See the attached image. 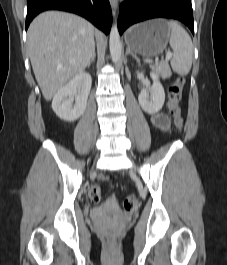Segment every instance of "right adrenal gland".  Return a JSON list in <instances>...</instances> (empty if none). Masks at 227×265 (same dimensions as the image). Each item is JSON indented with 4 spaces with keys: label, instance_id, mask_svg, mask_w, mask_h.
<instances>
[{
    "label": "right adrenal gland",
    "instance_id": "1",
    "mask_svg": "<svg viewBox=\"0 0 227 265\" xmlns=\"http://www.w3.org/2000/svg\"><path fill=\"white\" fill-rule=\"evenodd\" d=\"M95 58H96V53L94 52L93 55H92V57H91L90 62L87 65L88 68L90 67L91 63L95 61Z\"/></svg>",
    "mask_w": 227,
    "mask_h": 265
}]
</instances>
